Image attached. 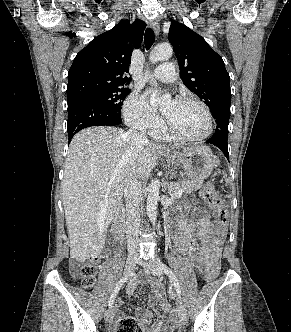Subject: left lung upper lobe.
I'll use <instances>...</instances> for the list:
<instances>
[{"mask_svg":"<svg viewBox=\"0 0 291 332\" xmlns=\"http://www.w3.org/2000/svg\"><path fill=\"white\" fill-rule=\"evenodd\" d=\"M168 39L179 62L183 84L203 100L214 114L230 107V77L223 59L200 35L172 20Z\"/></svg>","mask_w":291,"mask_h":332,"instance_id":"obj_1","label":"left lung upper lobe"}]
</instances>
